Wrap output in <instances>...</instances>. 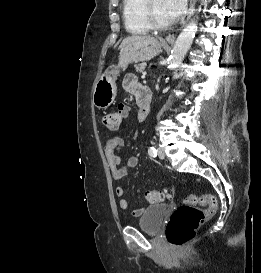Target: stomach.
<instances>
[{
    "instance_id": "obj_1",
    "label": "stomach",
    "mask_w": 261,
    "mask_h": 273,
    "mask_svg": "<svg viewBox=\"0 0 261 273\" xmlns=\"http://www.w3.org/2000/svg\"><path fill=\"white\" fill-rule=\"evenodd\" d=\"M164 43L155 38L131 42L120 49L117 65H112L96 81L93 88V104L99 109L108 108L117 95V77L121 69L130 63L154 58L162 52Z\"/></svg>"
}]
</instances>
